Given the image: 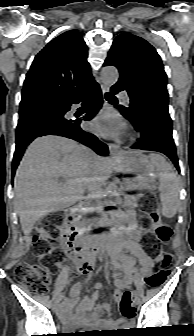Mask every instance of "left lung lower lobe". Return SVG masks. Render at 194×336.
I'll return each instance as SVG.
<instances>
[{
	"instance_id": "obj_1",
	"label": "left lung lower lobe",
	"mask_w": 194,
	"mask_h": 336,
	"mask_svg": "<svg viewBox=\"0 0 194 336\" xmlns=\"http://www.w3.org/2000/svg\"><path fill=\"white\" fill-rule=\"evenodd\" d=\"M122 90L125 89L119 84H115L111 88L112 94H117ZM119 107L117 106L118 109H120ZM122 115L131 121L137 131L141 132V138L131 148L163 153L180 171L172 137V121L168 111H151L136 114L134 117H128L123 113Z\"/></svg>"
}]
</instances>
